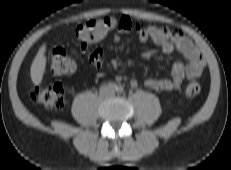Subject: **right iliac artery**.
Returning a JSON list of instances; mask_svg holds the SVG:
<instances>
[{
  "label": "right iliac artery",
  "instance_id": "right-iliac-artery-1",
  "mask_svg": "<svg viewBox=\"0 0 231 170\" xmlns=\"http://www.w3.org/2000/svg\"><path fill=\"white\" fill-rule=\"evenodd\" d=\"M108 87H109L111 90H116V89H117V85H116V83H114V82H109V83H108Z\"/></svg>",
  "mask_w": 231,
  "mask_h": 170
}]
</instances>
